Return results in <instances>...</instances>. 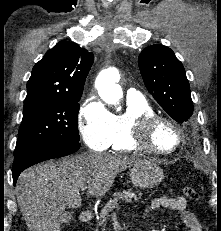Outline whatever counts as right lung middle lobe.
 Wrapping results in <instances>:
<instances>
[{"instance_id":"1","label":"right lung middle lobe","mask_w":221,"mask_h":231,"mask_svg":"<svg viewBox=\"0 0 221 231\" xmlns=\"http://www.w3.org/2000/svg\"><path fill=\"white\" fill-rule=\"evenodd\" d=\"M78 98L38 99L24 102L14 156L43 143L79 145Z\"/></svg>"}]
</instances>
